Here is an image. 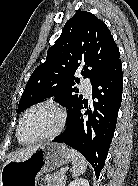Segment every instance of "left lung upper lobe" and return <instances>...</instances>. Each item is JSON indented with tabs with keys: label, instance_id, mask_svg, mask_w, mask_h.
<instances>
[{
	"label": "left lung upper lobe",
	"instance_id": "5c2ea615",
	"mask_svg": "<svg viewBox=\"0 0 138 186\" xmlns=\"http://www.w3.org/2000/svg\"><path fill=\"white\" fill-rule=\"evenodd\" d=\"M120 53L106 24L94 14L78 10L70 18L46 61L32 73L21 96L18 112L34 103L55 96L70 114L81 100L76 71L93 82L119 60Z\"/></svg>",
	"mask_w": 138,
	"mask_h": 186
}]
</instances>
